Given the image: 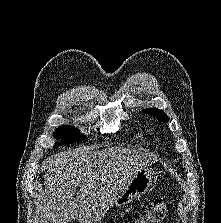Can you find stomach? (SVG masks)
<instances>
[{"label":"stomach","mask_w":221,"mask_h":223,"mask_svg":"<svg viewBox=\"0 0 221 223\" xmlns=\"http://www.w3.org/2000/svg\"><path fill=\"white\" fill-rule=\"evenodd\" d=\"M154 177L155 172L152 168L144 166L138 169L125 190L116 197L113 204L117 207H123L131 203L134 199L147 192Z\"/></svg>","instance_id":"stomach-1"}]
</instances>
